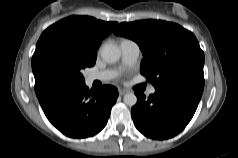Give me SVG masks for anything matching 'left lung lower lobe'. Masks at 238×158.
<instances>
[{
	"mask_svg": "<svg viewBox=\"0 0 238 158\" xmlns=\"http://www.w3.org/2000/svg\"><path fill=\"white\" fill-rule=\"evenodd\" d=\"M204 89V78L192 77L155 88L148 98L135 92L131 109L136 128L153 139H168L181 132L193 117Z\"/></svg>",
	"mask_w": 238,
	"mask_h": 158,
	"instance_id": "obj_1",
	"label": "left lung lower lobe"
}]
</instances>
